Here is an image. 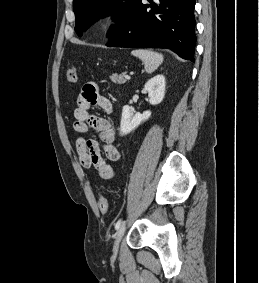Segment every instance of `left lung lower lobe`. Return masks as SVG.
Instances as JSON below:
<instances>
[{"instance_id":"0a47b994","label":"left lung lower lobe","mask_w":259,"mask_h":283,"mask_svg":"<svg viewBox=\"0 0 259 283\" xmlns=\"http://www.w3.org/2000/svg\"><path fill=\"white\" fill-rule=\"evenodd\" d=\"M136 0L108 47L168 48L194 62L195 0Z\"/></svg>"}]
</instances>
